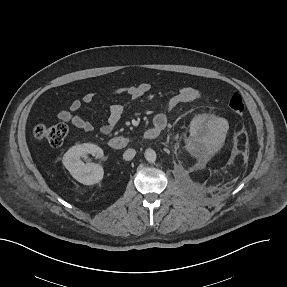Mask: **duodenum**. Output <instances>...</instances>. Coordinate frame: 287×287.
I'll use <instances>...</instances> for the list:
<instances>
[{"instance_id": "duodenum-1", "label": "duodenum", "mask_w": 287, "mask_h": 287, "mask_svg": "<svg viewBox=\"0 0 287 287\" xmlns=\"http://www.w3.org/2000/svg\"><path fill=\"white\" fill-rule=\"evenodd\" d=\"M161 132V129L158 127H151L144 132V137L148 140L156 139ZM129 145V140L126 137L117 136L109 139L108 146L115 150H120Z\"/></svg>"}]
</instances>
